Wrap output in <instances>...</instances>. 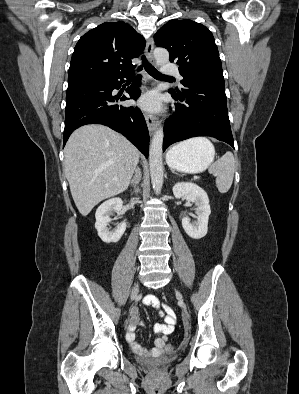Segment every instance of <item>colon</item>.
Listing matches in <instances>:
<instances>
[{"instance_id":"colon-1","label":"colon","mask_w":299,"mask_h":394,"mask_svg":"<svg viewBox=\"0 0 299 394\" xmlns=\"http://www.w3.org/2000/svg\"><path fill=\"white\" fill-rule=\"evenodd\" d=\"M171 348H172V346H171V345H169V346H168V349H171Z\"/></svg>"}]
</instances>
